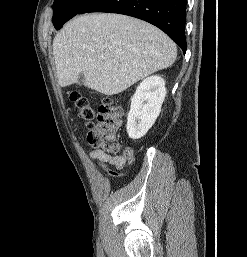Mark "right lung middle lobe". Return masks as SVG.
<instances>
[{"label": "right lung middle lobe", "instance_id": "1", "mask_svg": "<svg viewBox=\"0 0 247 257\" xmlns=\"http://www.w3.org/2000/svg\"><path fill=\"white\" fill-rule=\"evenodd\" d=\"M92 0H54L53 25L59 30Z\"/></svg>", "mask_w": 247, "mask_h": 257}]
</instances>
